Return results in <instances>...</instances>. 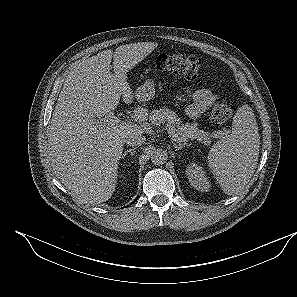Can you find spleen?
Listing matches in <instances>:
<instances>
[{
  "mask_svg": "<svg viewBox=\"0 0 297 297\" xmlns=\"http://www.w3.org/2000/svg\"><path fill=\"white\" fill-rule=\"evenodd\" d=\"M260 135L249 105L238 108L231 132L208 154V166L227 195L238 194L252 178L259 157Z\"/></svg>",
  "mask_w": 297,
  "mask_h": 297,
  "instance_id": "obj_1",
  "label": "spleen"
}]
</instances>
